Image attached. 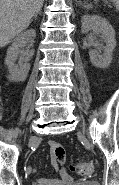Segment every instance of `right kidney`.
Here are the masks:
<instances>
[{
  "label": "right kidney",
  "instance_id": "1",
  "mask_svg": "<svg viewBox=\"0 0 119 185\" xmlns=\"http://www.w3.org/2000/svg\"><path fill=\"white\" fill-rule=\"evenodd\" d=\"M36 31L30 29L24 33L19 34L13 44L7 50V56L5 58V65L8 67L9 76L8 79L11 82H23L26 80L28 72L30 70V64L27 59H23L18 64L16 60L18 58L19 50L26 46L30 42H34Z\"/></svg>",
  "mask_w": 119,
  "mask_h": 185
}]
</instances>
